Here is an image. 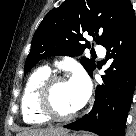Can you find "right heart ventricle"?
Wrapping results in <instances>:
<instances>
[{
  "instance_id": "e07e8e85",
  "label": "right heart ventricle",
  "mask_w": 136,
  "mask_h": 136,
  "mask_svg": "<svg viewBox=\"0 0 136 136\" xmlns=\"http://www.w3.org/2000/svg\"><path fill=\"white\" fill-rule=\"evenodd\" d=\"M50 76V70L47 67L36 69L28 77L22 97L21 110L23 120L28 124H44L48 121L38 108V93L44 81Z\"/></svg>"
}]
</instances>
